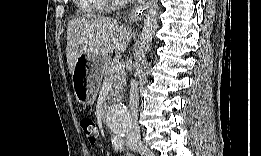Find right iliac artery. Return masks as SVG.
Masks as SVG:
<instances>
[{
  "mask_svg": "<svg viewBox=\"0 0 261 156\" xmlns=\"http://www.w3.org/2000/svg\"><path fill=\"white\" fill-rule=\"evenodd\" d=\"M112 145L115 148V150H120L122 151L124 149V140L123 139H113L112 140Z\"/></svg>",
  "mask_w": 261,
  "mask_h": 156,
  "instance_id": "1",
  "label": "right iliac artery"
}]
</instances>
